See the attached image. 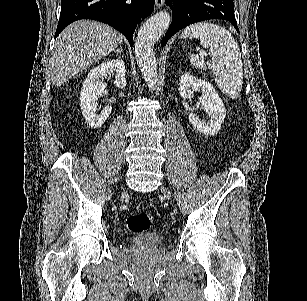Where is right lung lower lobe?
<instances>
[{
	"mask_svg": "<svg viewBox=\"0 0 307 301\" xmlns=\"http://www.w3.org/2000/svg\"><path fill=\"white\" fill-rule=\"evenodd\" d=\"M155 0H61V13L55 38L70 23L79 19L104 22L128 39L132 46L138 22L149 16Z\"/></svg>",
	"mask_w": 307,
	"mask_h": 301,
	"instance_id": "1",
	"label": "right lung lower lobe"
}]
</instances>
